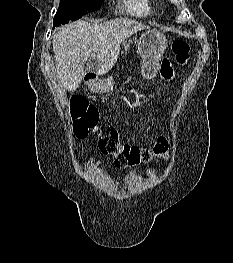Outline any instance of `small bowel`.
Returning a JSON list of instances; mask_svg holds the SVG:
<instances>
[{
    "instance_id": "small-bowel-1",
    "label": "small bowel",
    "mask_w": 233,
    "mask_h": 263,
    "mask_svg": "<svg viewBox=\"0 0 233 263\" xmlns=\"http://www.w3.org/2000/svg\"><path fill=\"white\" fill-rule=\"evenodd\" d=\"M160 74L165 80H172L174 77L173 68L168 60H164L161 64Z\"/></svg>"
}]
</instances>
